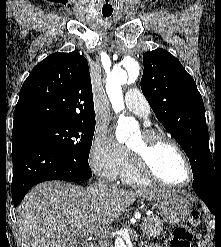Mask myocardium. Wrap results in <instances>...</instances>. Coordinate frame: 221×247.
Masks as SVG:
<instances>
[{"label":"myocardium","mask_w":221,"mask_h":247,"mask_svg":"<svg viewBox=\"0 0 221 247\" xmlns=\"http://www.w3.org/2000/svg\"><path fill=\"white\" fill-rule=\"evenodd\" d=\"M141 134L143 141L139 148L127 146L130 157L136 169L151 181L167 187L184 188L189 186L194 179V172L191 162L182 147L167 135L152 129L143 130L141 131ZM162 146L172 147L183 159L188 172V180L185 183L177 184L165 181L156 172L153 165V154L159 147Z\"/></svg>","instance_id":"f54148a6"}]
</instances>
